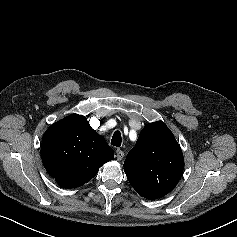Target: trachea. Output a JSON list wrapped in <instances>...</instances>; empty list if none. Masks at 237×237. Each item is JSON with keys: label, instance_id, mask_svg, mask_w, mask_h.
I'll return each mask as SVG.
<instances>
[{"label": "trachea", "instance_id": "1", "mask_svg": "<svg viewBox=\"0 0 237 237\" xmlns=\"http://www.w3.org/2000/svg\"><path fill=\"white\" fill-rule=\"evenodd\" d=\"M121 133L120 131H115L113 136H112V140H111V144L116 146V147H120L121 146Z\"/></svg>", "mask_w": 237, "mask_h": 237}]
</instances>
